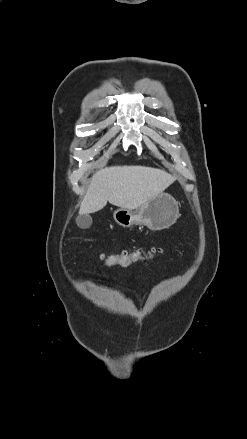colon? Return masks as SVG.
I'll list each match as a JSON object with an SVG mask.
<instances>
[{"mask_svg": "<svg viewBox=\"0 0 247 439\" xmlns=\"http://www.w3.org/2000/svg\"><path fill=\"white\" fill-rule=\"evenodd\" d=\"M151 257V254H145L139 251H123L119 254L103 256L105 263L109 266L127 267L130 264Z\"/></svg>", "mask_w": 247, "mask_h": 439, "instance_id": "obj_1", "label": "colon"}]
</instances>
